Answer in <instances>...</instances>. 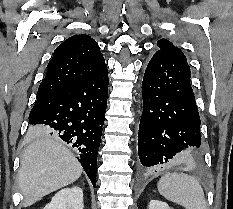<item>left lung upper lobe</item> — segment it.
<instances>
[{
  "label": "left lung upper lobe",
  "instance_id": "obj_1",
  "mask_svg": "<svg viewBox=\"0 0 233 209\" xmlns=\"http://www.w3.org/2000/svg\"><path fill=\"white\" fill-rule=\"evenodd\" d=\"M158 47L160 48V50L157 52L167 53L186 60V57L183 54V52L179 48L175 47L170 41L164 38L158 41Z\"/></svg>",
  "mask_w": 233,
  "mask_h": 209
}]
</instances>
